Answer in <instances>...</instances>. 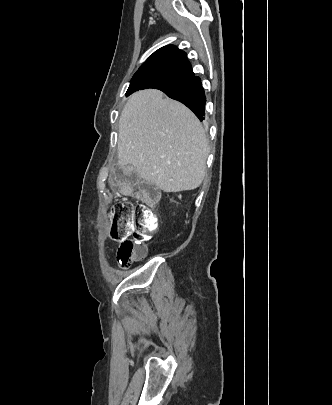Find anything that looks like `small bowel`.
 <instances>
[{
  "mask_svg": "<svg viewBox=\"0 0 332 405\" xmlns=\"http://www.w3.org/2000/svg\"><path fill=\"white\" fill-rule=\"evenodd\" d=\"M108 177L109 186H142L143 184L141 172H131L130 168H124L122 162L113 164L112 172Z\"/></svg>",
  "mask_w": 332,
  "mask_h": 405,
  "instance_id": "1",
  "label": "small bowel"
}]
</instances>
